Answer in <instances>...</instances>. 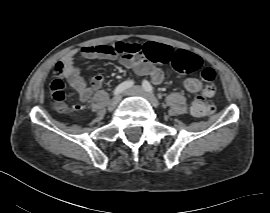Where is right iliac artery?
<instances>
[{"instance_id": "obj_1", "label": "right iliac artery", "mask_w": 270, "mask_h": 213, "mask_svg": "<svg viewBox=\"0 0 270 213\" xmlns=\"http://www.w3.org/2000/svg\"><path fill=\"white\" fill-rule=\"evenodd\" d=\"M134 84V82L132 80H127L124 81L123 83H121L120 85H118L115 90L113 91V95H119L122 92H124L126 89L132 87Z\"/></svg>"}]
</instances>
